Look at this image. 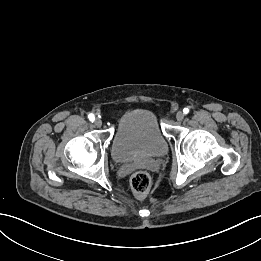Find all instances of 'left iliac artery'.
Instances as JSON below:
<instances>
[{
    "label": "left iliac artery",
    "instance_id": "obj_1",
    "mask_svg": "<svg viewBox=\"0 0 261 261\" xmlns=\"http://www.w3.org/2000/svg\"><path fill=\"white\" fill-rule=\"evenodd\" d=\"M183 113H184V114H188V113H189V109H188V108H184V109H183Z\"/></svg>",
    "mask_w": 261,
    "mask_h": 261
}]
</instances>
